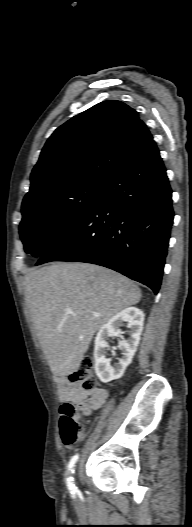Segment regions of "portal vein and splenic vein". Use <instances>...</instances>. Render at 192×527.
<instances>
[{"label":"portal vein and splenic vein","instance_id":"1","mask_svg":"<svg viewBox=\"0 0 192 527\" xmlns=\"http://www.w3.org/2000/svg\"><path fill=\"white\" fill-rule=\"evenodd\" d=\"M68 313H72V311L70 309L67 310Z\"/></svg>","mask_w":192,"mask_h":527}]
</instances>
